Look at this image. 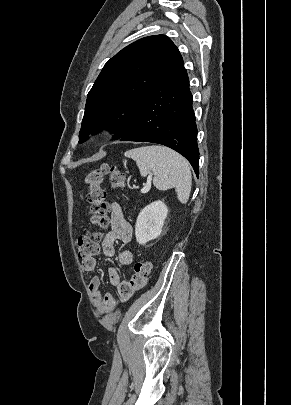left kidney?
Segmentation results:
<instances>
[{"label":"left kidney","mask_w":291,"mask_h":405,"mask_svg":"<svg viewBox=\"0 0 291 405\" xmlns=\"http://www.w3.org/2000/svg\"><path fill=\"white\" fill-rule=\"evenodd\" d=\"M168 214L167 206L160 200L152 202L141 210L135 225V236L139 244L156 239L162 232Z\"/></svg>","instance_id":"obj_1"}]
</instances>
